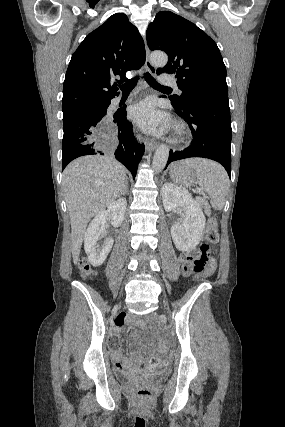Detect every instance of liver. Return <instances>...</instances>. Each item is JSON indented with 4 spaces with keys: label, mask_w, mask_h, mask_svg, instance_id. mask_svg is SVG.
I'll return each instance as SVG.
<instances>
[{
    "label": "liver",
    "mask_w": 285,
    "mask_h": 427,
    "mask_svg": "<svg viewBox=\"0 0 285 427\" xmlns=\"http://www.w3.org/2000/svg\"><path fill=\"white\" fill-rule=\"evenodd\" d=\"M126 181V168L110 155L83 156L65 168L62 187L70 216L75 264L88 222L115 201Z\"/></svg>",
    "instance_id": "6515ba94"
}]
</instances>
